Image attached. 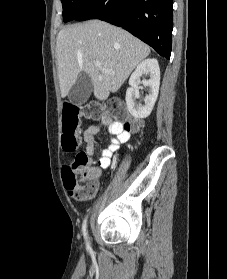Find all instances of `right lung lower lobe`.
<instances>
[{
	"mask_svg": "<svg viewBox=\"0 0 227 279\" xmlns=\"http://www.w3.org/2000/svg\"><path fill=\"white\" fill-rule=\"evenodd\" d=\"M173 0H92L75 20L120 26L170 59Z\"/></svg>",
	"mask_w": 227,
	"mask_h": 279,
	"instance_id": "1",
	"label": "right lung lower lobe"
}]
</instances>
